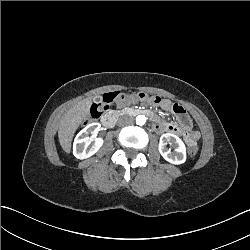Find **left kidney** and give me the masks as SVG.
Wrapping results in <instances>:
<instances>
[{"label":"left kidney","instance_id":"left-kidney-1","mask_svg":"<svg viewBox=\"0 0 250 250\" xmlns=\"http://www.w3.org/2000/svg\"><path fill=\"white\" fill-rule=\"evenodd\" d=\"M167 142L176 144L177 147L174 149V152H176L177 155L173 156L171 150L166 149ZM159 152L167 161L173 164L183 163L186 158L184 143L178 136L172 133H165L161 135L159 141Z\"/></svg>","mask_w":250,"mask_h":250}]
</instances>
